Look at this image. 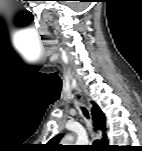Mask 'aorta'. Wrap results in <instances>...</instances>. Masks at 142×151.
<instances>
[{
  "mask_svg": "<svg viewBox=\"0 0 142 151\" xmlns=\"http://www.w3.org/2000/svg\"><path fill=\"white\" fill-rule=\"evenodd\" d=\"M73 141V136L72 135H66L63 139H62V143L63 145H69V143H71Z\"/></svg>",
  "mask_w": 142,
  "mask_h": 151,
  "instance_id": "obj_1",
  "label": "aorta"
}]
</instances>
